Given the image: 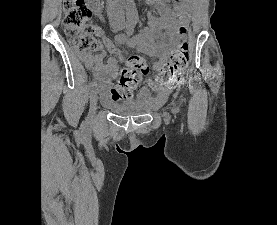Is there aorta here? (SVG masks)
<instances>
[{
    "label": "aorta",
    "instance_id": "1",
    "mask_svg": "<svg viewBox=\"0 0 277 225\" xmlns=\"http://www.w3.org/2000/svg\"><path fill=\"white\" fill-rule=\"evenodd\" d=\"M126 14H127V19L129 21L137 19L138 12H137V8H136V5L134 3V0H127Z\"/></svg>",
    "mask_w": 277,
    "mask_h": 225
}]
</instances>
